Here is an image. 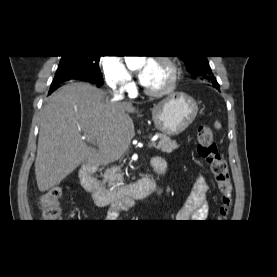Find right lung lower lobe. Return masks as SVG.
I'll use <instances>...</instances> for the list:
<instances>
[{"mask_svg":"<svg viewBox=\"0 0 277 277\" xmlns=\"http://www.w3.org/2000/svg\"><path fill=\"white\" fill-rule=\"evenodd\" d=\"M71 79H82V80L89 81V82H91V83H95V84H97V85H99V86L102 85L100 82H95V81H93V80H91V79H89V78H86V77H84V76H81V75H75V76H74V75H70V76L66 75V76L60 78V80H53V82H52V84H51V88H50L49 93L51 94V93H52L53 91H55L63 82L68 81V80H71Z\"/></svg>","mask_w":277,"mask_h":277,"instance_id":"obj_1","label":"right lung lower lobe"}]
</instances>
